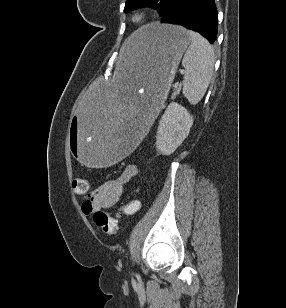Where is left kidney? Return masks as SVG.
<instances>
[{
  "mask_svg": "<svg viewBox=\"0 0 286 308\" xmlns=\"http://www.w3.org/2000/svg\"><path fill=\"white\" fill-rule=\"evenodd\" d=\"M193 117L178 103H171L159 122L156 147L163 155H171L189 135Z\"/></svg>",
  "mask_w": 286,
  "mask_h": 308,
  "instance_id": "obj_1",
  "label": "left kidney"
}]
</instances>
